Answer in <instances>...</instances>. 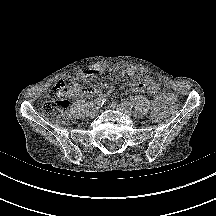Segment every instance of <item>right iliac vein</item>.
Here are the masks:
<instances>
[{"instance_id":"right-iliac-vein-1","label":"right iliac vein","mask_w":216,"mask_h":216,"mask_svg":"<svg viewBox=\"0 0 216 216\" xmlns=\"http://www.w3.org/2000/svg\"><path fill=\"white\" fill-rule=\"evenodd\" d=\"M99 112V106H95L94 108H92V110L90 111V116L91 117H95Z\"/></svg>"}]
</instances>
